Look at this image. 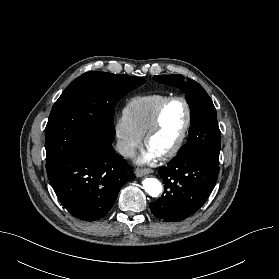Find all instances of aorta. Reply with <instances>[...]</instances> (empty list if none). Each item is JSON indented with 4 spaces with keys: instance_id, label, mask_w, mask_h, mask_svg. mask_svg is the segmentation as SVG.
Wrapping results in <instances>:
<instances>
[{
    "instance_id": "1",
    "label": "aorta",
    "mask_w": 279,
    "mask_h": 279,
    "mask_svg": "<svg viewBox=\"0 0 279 279\" xmlns=\"http://www.w3.org/2000/svg\"><path fill=\"white\" fill-rule=\"evenodd\" d=\"M142 184L144 190L152 197H157L162 192V185L156 178H146Z\"/></svg>"
}]
</instances>
